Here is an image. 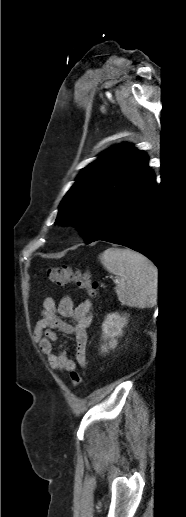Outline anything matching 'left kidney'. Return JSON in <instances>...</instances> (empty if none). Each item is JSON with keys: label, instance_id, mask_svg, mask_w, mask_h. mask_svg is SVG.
<instances>
[{"label": "left kidney", "instance_id": "left-kidney-1", "mask_svg": "<svg viewBox=\"0 0 186 517\" xmlns=\"http://www.w3.org/2000/svg\"><path fill=\"white\" fill-rule=\"evenodd\" d=\"M128 323V319L126 314L119 315L118 313H111L106 316L105 321L102 324L103 331V340L106 342L109 340V343H106L101 346L102 352H107L109 348L115 349L117 346V339L122 335L123 327Z\"/></svg>", "mask_w": 186, "mask_h": 517}]
</instances>
